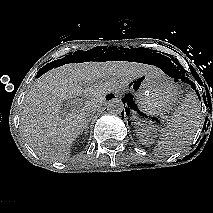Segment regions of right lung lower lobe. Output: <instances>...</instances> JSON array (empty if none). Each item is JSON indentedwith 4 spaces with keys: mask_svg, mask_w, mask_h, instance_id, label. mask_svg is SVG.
<instances>
[{
    "mask_svg": "<svg viewBox=\"0 0 213 213\" xmlns=\"http://www.w3.org/2000/svg\"><path fill=\"white\" fill-rule=\"evenodd\" d=\"M53 64L55 63V61L54 62H52ZM51 64V63H50ZM45 68H46V66L45 67H43L39 72H38V74H37V77L38 76H40V75H42V73H44V70H45Z\"/></svg>",
    "mask_w": 213,
    "mask_h": 213,
    "instance_id": "obj_1",
    "label": "right lung lower lobe"
}]
</instances>
